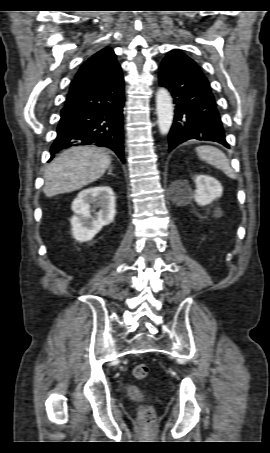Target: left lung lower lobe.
I'll use <instances>...</instances> for the list:
<instances>
[{
	"mask_svg": "<svg viewBox=\"0 0 270 453\" xmlns=\"http://www.w3.org/2000/svg\"><path fill=\"white\" fill-rule=\"evenodd\" d=\"M159 70V83L170 90L176 104L168 152L191 139L229 148L210 83L196 62L182 52H171Z\"/></svg>",
	"mask_w": 270,
	"mask_h": 453,
	"instance_id": "obj_1",
	"label": "left lung lower lobe"
}]
</instances>
